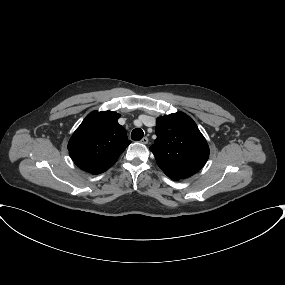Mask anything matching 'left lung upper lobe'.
Segmentation results:
<instances>
[{
  "instance_id": "obj_1",
  "label": "left lung upper lobe",
  "mask_w": 285,
  "mask_h": 285,
  "mask_svg": "<svg viewBox=\"0 0 285 285\" xmlns=\"http://www.w3.org/2000/svg\"><path fill=\"white\" fill-rule=\"evenodd\" d=\"M155 144L150 147L157 164L172 180L188 178L207 162L209 147L196 123L185 113L158 117Z\"/></svg>"
}]
</instances>
